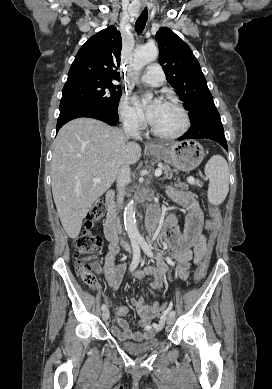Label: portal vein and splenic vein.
<instances>
[{
	"label": "portal vein and splenic vein",
	"instance_id": "18ae733b",
	"mask_svg": "<svg viewBox=\"0 0 272 389\" xmlns=\"http://www.w3.org/2000/svg\"><path fill=\"white\" fill-rule=\"evenodd\" d=\"M162 174V169L161 168H158L155 170V177H160ZM189 181L190 182H193L194 181V178L193 177H190L189 178ZM94 183H99L100 182V179H94L93 180Z\"/></svg>",
	"mask_w": 272,
	"mask_h": 389
}]
</instances>
